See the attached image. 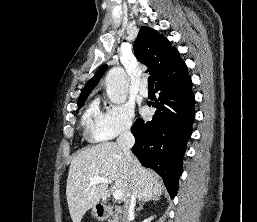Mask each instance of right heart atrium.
<instances>
[{
	"mask_svg": "<svg viewBox=\"0 0 257 222\" xmlns=\"http://www.w3.org/2000/svg\"><path fill=\"white\" fill-rule=\"evenodd\" d=\"M115 114H120L124 117V124L119 129H114L105 122V116L101 115L98 122V131L95 137L96 140H108L117 136L127 134L131 131L134 124V108L129 104H119L112 107Z\"/></svg>",
	"mask_w": 257,
	"mask_h": 222,
	"instance_id": "obj_1",
	"label": "right heart atrium"
}]
</instances>
